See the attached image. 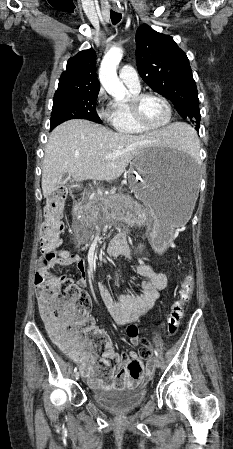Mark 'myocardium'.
Wrapping results in <instances>:
<instances>
[{
    "mask_svg": "<svg viewBox=\"0 0 233 449\" xmlns=\"http://www.w3.org/2000/svg\"><path fill=\"white\" fill-rule=\"evenodd\" d=\"M146 97H156L165 104V106L167 108V118L162 124L150 125L142 117L141 103H142L143 99H145ZM128 106H129V109H130V112H131V115H132L134 121L139 126H141L142 128H144L146 130H149V131L159 130V129L166 127L171 122L172 106H171L170 102L163 95H161L157 92L147 91V92H138L136 94H133L128 99Z\"/></svg>",
    "mask_w": 233,
    "mask_h": 449,
    "instance_id": "obj_1",
    "label": "myocardium"
}]
</instances>
